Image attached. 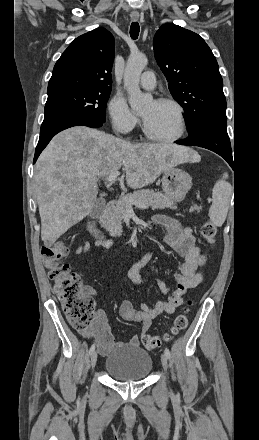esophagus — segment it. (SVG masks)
Masks as SVG:
<instances>
[{"mask_svg":"<svg viewBox=\"0 0 259 440\" xmlns=\"http://www.w3.org/2000/svg\"><path fill=\"white\" fill-rule=\"evenodd\" d=\"M131 19H132L133 21H137V20L139 19V15H138V14H132V15H131Z\"/></svg>","mask_w":259,"mask_h":440,"instance_id":"1","label":"esophagus"}]
</instances>
